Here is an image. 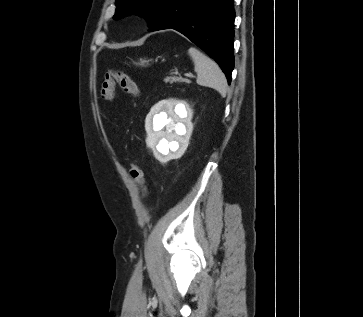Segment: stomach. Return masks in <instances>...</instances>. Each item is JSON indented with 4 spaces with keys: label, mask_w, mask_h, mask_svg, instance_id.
<instances>
[{
    "label": "stomach",
    "mask_w": 363,
    "mask_h": 317,
    "mask_svg": "<svg viewBox=\"0 0 363 317\" xmlns=\"http://www.w3.org/2000/svg\"><path fill=\"white\" fill-rule=\"evenodd\" d=\"M148 60H146V59H140V62L138 63V65H140V66H146L147 64H148Z\"/></svg>",
    "instance_id": "obj_1"
}]
</instances>
